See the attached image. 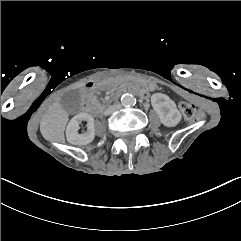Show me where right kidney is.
<instances>
[{
  "label": "right kidney",
  "instance_id": "obj_1",
  "mask_svg": "<svg viewBox=\"0 0 241 241\" xmlns=\"http://www.w3.org/2000/svg\"><path fill=\"white\" fill-rule=\"evenodd\" d=\"M82 121L87 122V132L79 134V124ZM95 137L94 118L88 113H79L75 115L67 125V141L74 145H86L93 141Z\"/></svg>",
  "mask_w": 241,
  "mask_h": 241
}]
</instances>
